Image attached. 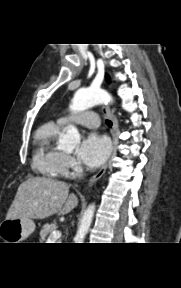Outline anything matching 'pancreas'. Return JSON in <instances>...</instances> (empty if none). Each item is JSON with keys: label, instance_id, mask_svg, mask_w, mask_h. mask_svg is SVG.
<instances>
[{"label": "pancreas", "instance_id": "obj_1", "mask_svg": "<svg viewBox=\"0 0 181 288\" xmlns=\"http://www.w3.org/2000/svg\"><path fill=\"white\" fill-rule=\"evenodd\" d=\"M57 229L56 223L45 224L40 231V240H46L47 236Z\"/></svg>", "mask_w": 181, "mask_h": 288}]
</instances>
